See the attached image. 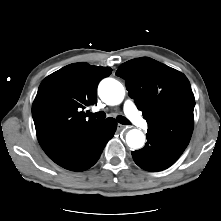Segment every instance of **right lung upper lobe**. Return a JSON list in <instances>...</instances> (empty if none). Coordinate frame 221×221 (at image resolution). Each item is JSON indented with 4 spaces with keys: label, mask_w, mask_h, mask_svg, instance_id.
<instances>
[{
    "label": "right lung upper lobe",
    "mask_w": 221,
    "mask_h": 221,
    "mask_svg": "<svg viewBox=\"0 0 221 221\" xmlns=\"http://www.w3.org/2000/svg\"><path fill=\"white\" fill-rule=\"evenodd\" d=\"M112 69L73 63L46 77L32 105L38 141L51 156L67 141L100 120L83 111L97 103V86Z\"/></svg>",
    "instance_id": "obj_1"
}]
</instances>
